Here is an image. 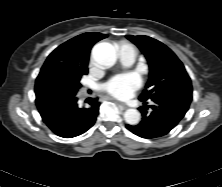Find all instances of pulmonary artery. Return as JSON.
<instances>
[{"instance_id": "pulmonary-artery-1", "label": "pulmonary artery", "mask_w": 222, "mask_h": 187, "mask_svg": "<svg viewBox=\"0 0 222 187\" xmlns=\"http://www.w3.org/2000/svg\"><path fill=\"white\" fill-rule=\"evenodd\" d=\"M120 57L125 66H131L136 59V50L130 45H123L120 48Z\"/></svg>"}]
</instances>
